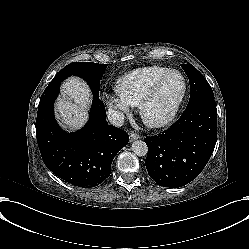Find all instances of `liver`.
<instances>
[{"label":"liver","mask_w":249,"mask_h":249,"mask_svg":"<svg viewBox=\"0 0 249 249\" xmlns=\"http://www.w3.org/2000/svg\"><path fill=\"white\" fill-rule=\"evenodd\" d=\"M91 103L92 94L86 82L79 77L68 78L54 105L56 118L63 128L77 131L87 123Z\"/></svg>","instance_id":"1"}]
</instances>
